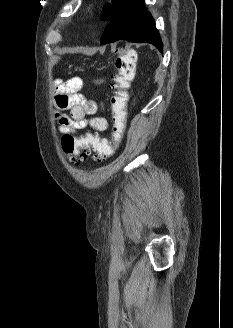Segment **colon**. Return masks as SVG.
<instances>
[{
	"label": "colon",
	"instance_id": "colon-1",
	"mask_svg": "<svg viewBox=\"0 0 233 328\" xmlns=\"http://www.w3.org/2000/svg\"><path fill=\"white\" fill-rule=\"evenodd\" d=\"M135 64L136 55L132 50L125 49L118 52L115 62L116 72L111 77L114 94L111 99L110 141L92 134L63 136L61 147L72 165L83 164L91 153L99 161L106 160L120 145L126 127L129 89L135 76Z\"/></svg>",
	"mask_w": 233,
	"mask_h": 328
}]
</instances>
